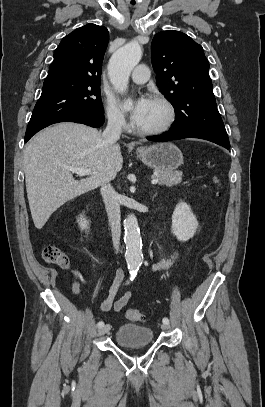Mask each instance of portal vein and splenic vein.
Returning a JSON list of instances; mask_svg holds the SVG:
<instances>
[{"label":"portal vein and splenic vein","instance_id":"1","mask_svg":"<svg viewBox=\"0 0 265 407\" xmlns=\"http://www.w3.org/2000/svg\"><path fill=\"white\" fill-rule=\"evenodd\" d=\"M66 169H68L69 171L76 173L80 176H86V175H91V170L89 169H83V168H77V167H72V166H66ZM152 184H157L158 183V179L154 178L151 181Z\"/></svg>","mask_w":265,"mask_h":407}]
</instances>
